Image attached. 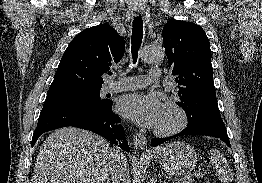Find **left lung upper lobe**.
Wrapping results in <instances>:
<instances>
[{
  "mask_svg": "<svg viewBox=\"0 0 262 183\" xmlns=\"http://www.w3.org/2000/svg\"><path fill=\"white\" fill-rule=\"evenodd\" d=\"M169 68L178 84L174 96L189 122L221 118L213 82L211 50L204 30L192 22L169 20L163 28Z\"/></svg>",
  "mask_w": 262,
  "mask_h": 183,
  "instance_id": "1",
  "label": "left lung upper lobe"
}]
</instances>
